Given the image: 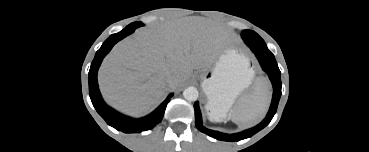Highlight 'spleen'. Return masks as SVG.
Here are the masks:
<instances>
[{"label": "spleen", "mask_w": 369, "mask_h": 152, "mask_svg": "<svg viewBox=\"0 0 369 152\" xmlns=\"http://www.w3.org/2000/svg\"><path fill=\"white\" fill-rule=\"evenodd\" d=\"M270 98L269 90L257 86L252 93L239 101L238 105L230 111L229 116L239 126H252L267 112Z\"/></svg>", "instance_id": "1"}]
</instances>
